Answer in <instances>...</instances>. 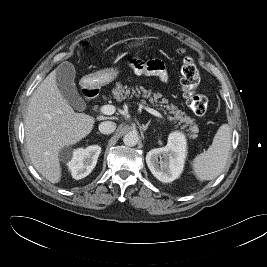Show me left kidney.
<instances>
[{
	"mask_svg": "<svg viewBox=\"0 0 267 267\" xmlns=\"http://www.w3.org/2000/svg\"><path fill=\"white\" fill-rule=\"evenodd\" d=\"M186 157V139L180 132H173L168 137L165 147L150 150L146 163L151 173L159 181L170 183L183 171Z\"/></svg>",
	"mask_w": 267,
	"mask_h": 267,
	"instance_id": "left-kidney-1",
	"label": "left kidney"
}]
</instances>
